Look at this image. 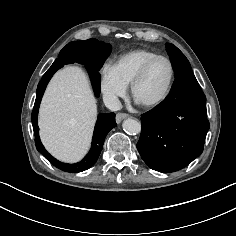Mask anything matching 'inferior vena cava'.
<instances>
[{
    "mask_svg": "<svg viewBox=\"0 0 236 236\" xmlns=\"http://www.w3.org/2000/svg\"><path fill=\"white\" fill-rule=\"evenodd\" d=\"M105 106L111 111H118L122 108L121 102L116 96L106 95L103 97Z\"/></svg>",
    "mask_w": 236,
    "mask_h": 236,
    "instance_id": "1",
    "label": "inferior vena cava"
}]
</instances>
